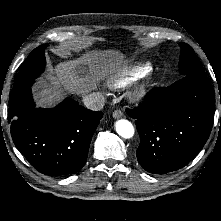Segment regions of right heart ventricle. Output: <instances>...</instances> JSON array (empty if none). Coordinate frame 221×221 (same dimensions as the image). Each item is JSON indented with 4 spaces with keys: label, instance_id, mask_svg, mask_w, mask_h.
<instances>
[{
    "label": "right heart ventricle",
    "instance_id": "1",
    "mask_svg": "<svg viewBox=\"0 0 221 221\" xmlns=\"http://www.w3.org/2000/svg\"><path fill=\"white\" fill-rule=\"evenodd\" d=\"M147 69L148 67L146 65H136L129 69H125L111 78L109 86L114 89L122 88L144 74Z\"/></svg>",
    "mask_w": 221,
    "mask_h": 221
}]
</instances>
